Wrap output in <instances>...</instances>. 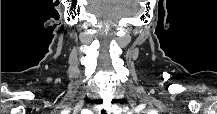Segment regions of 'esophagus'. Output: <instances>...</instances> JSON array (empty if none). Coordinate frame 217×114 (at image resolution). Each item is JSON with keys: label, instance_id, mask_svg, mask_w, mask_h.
<instances>
[{"label": "esophagus", "instance_id": "esophagus-1", "mask_svg": "<svg viewBox=\"0 0 217 114\" xmlns=\"http://www.w3.org/2000/svg\"><path fill=\"white\" fill-rule=\"evenodd\" d=\"M103 111H106V112H107V111H108V109H103Z\"/></svg>", "mask_w": 217, "mask_h": 114}]
</instances>
